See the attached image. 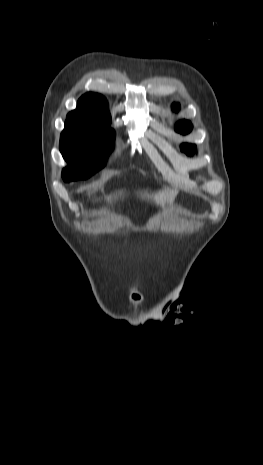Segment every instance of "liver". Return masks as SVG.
<instances>
[{
  "label": "liver",
  "instance_id": "6515ba94",
  "mask_svg": "<svg viewBox=\"0 0 263 465\" xmlns=\"http://www.w3.org/2000/svg\"><path fill=\"white\" fill-rule=\"evenodd\" d=\"M177 191L176 190H164V191H159L153 194H148L145 192L144 194H141L142 198H148L153 200L157 205H161L164 207L165 203H172L176 197ZM108 201L112 200V196L107 197Z\"/></svg>",
  "mask_w": 263,
  "mask_h": 465
}]
</instances>
